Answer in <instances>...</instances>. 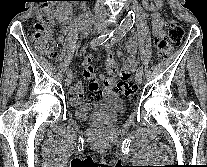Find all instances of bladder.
Listing matches in <instances>:
<instances>
[{
    "label": "bladder",
    "mask_w": 207,
    "mask_h": 167,
    "mask_svg": "<svg viewBox=\"0 0 207 167\" xmlns=\"http://www.w3.org/2000/svg\"><path fill=\"white\" fill-rule=\"evenodd\" d=\"M124 104L116 97H107L100 101L81 104L76 114L79 119L89 120L95 115L113 117L123 113Z\"/></svg>",
    "instance_id": "31cf9c89"
}]
</instances>
